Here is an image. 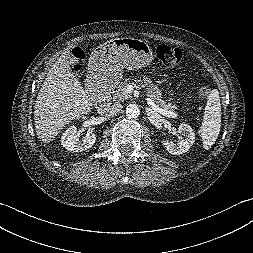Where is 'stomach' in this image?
Returning <instances> with one entry per match:
<instances>
[{
  "label": "stomach",
  "instance_id": "0dacf381",
  "mask_svg": "<svg viewBox=\"0 0 253 253\" xmlns=\"http://www.w3.org/2000/svg\"><path fill=\"white\" fill-rule=\"evenodd\" d=\"M154 58L150 45L135 38H115L94 50L89 60L90 73L94 77H120L122 69H137L147 66ZM167 94L173 97L174 91Z\"/></svg>",
  "mask_w": 253,
  "mask_h": 253
}]
</instances>
